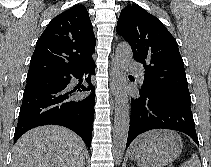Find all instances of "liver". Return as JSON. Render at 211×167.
<instances>
[{
    "instance_id": "liver-1",
    "label": "liver",
    "mask_w": 211,
    "mask_h": 167,
    "mask_svg": "<svg viewBox=\"0 0 211 167\" xmlns=\"http://www.w3.org/2000/svg\"><path fill=\"white\" fill-rule=\"evenodd\" d=\"M85 154L84 142L71 130L41 126L16 142L10 167H83Z\"/></svg>"
}]
</instances>
